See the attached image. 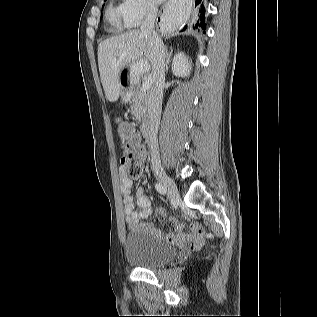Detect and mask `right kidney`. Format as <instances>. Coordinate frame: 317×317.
Masks as SVG:
<instances>
[{
  "instance_id": "obj_1",
  "label": "right kidney",
  "mask_w": 317,
  "mask_h": 317,
  "mask_svg": "<svg viewBox=\"0 0 317 317\" xmlns=\"http://www.w3.org/2000/svg\"><path fill=\"white\" fill-rule=\"evenodd\" d=\"M191 63L183 52L175 54L172 63V72L175 76L187 77L190 75Z\"/></svg>"
}]
</instances>
